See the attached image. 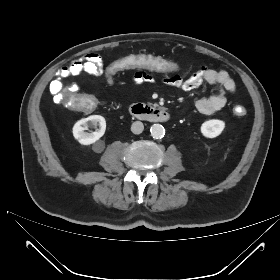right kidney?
<instances>
[{"mask_svg":"<svg viewBox=\"0 0 280 280\" xmlns=\"http://www.w3.org/2000/svg\"><path fill=\"white\" fill-rule=\"evenodd\" d=\"M95 132H86L89 128H97ZM106 121L100 115H91L77 121L73 126V136L79 141L80 144L90 145L99 140L105 133Z\"/></svg>","mask_w":280,"mask_h":280,"instance_id":"right-kidney-1","label":"right kidney"}]
</instances>
